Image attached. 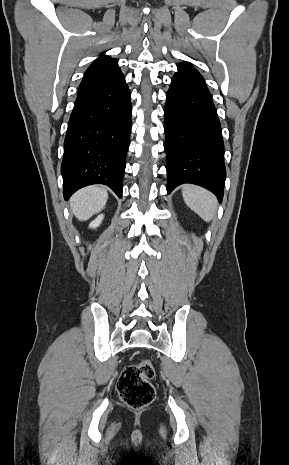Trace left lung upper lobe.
<instances>
[{"instance_id": "obj_1", "label": "left lung upper lobe", "mask_w": 289, "mask_h": 465, "mask_svg": "<svg viewBox=\"0 0 289 465\" xmlns=\"http://www.w3.org/2000/svg\"><path fill=\"white\" fill-rule=\"evenodd\" d=\"M179 66H191V65L188 64V63H182V64H180Z\"/></svg>"}]
</instances>
